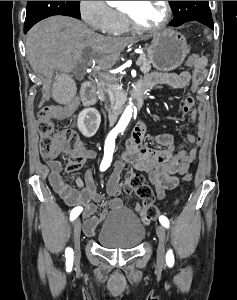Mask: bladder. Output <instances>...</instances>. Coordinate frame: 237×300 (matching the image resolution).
<instances>
[{
	"label": "bladder",
	"mask_w": 237,
	"mask_h": 300,
	"mask_svg": "<svg viewBox=\"0 0 237 300\" xmlns=\"http://www.w3.org/2000/svg\"><path fill=\"white\" fill-rule=\"evenodd\" d=\"M145 235L142 221L133 212L123 210L108 217L95 238L104 248L128 250L139 246Z\"/></svg>",
	"instance_id": "bladder-1"
}]
</instances>
